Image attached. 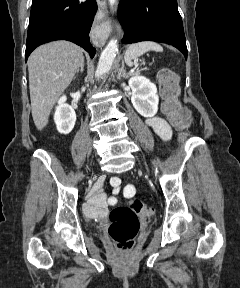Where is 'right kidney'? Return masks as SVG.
Segmentation results:
<instances>
[{
    "label": "right kidney",
    "instance_id": "right-kidney-1",
    "mask_svg": "<svg viewBox=\"0 0 240 288\" xmlns=\"http://www.w3.org/2000/svg\"><path fill=\"white\" fill-rule=\"evenodd\" d=\"M66 96L63 95L58 100V106L55 108L54 121L59 133L69 134L76 122V113L72 106L66 103Z\"/></svg>",
    "mask_w": 240,
    "mask_h": 288
}]
</instances>
